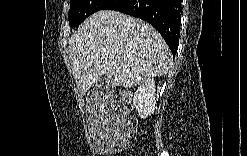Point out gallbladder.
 I'll use <instances>...</instances> for the list:
<instances>
[{"mask_svg":"<svg viewBox=\"0 0 247 156\" xmlns=\"http://www.w3.org/2000/svg\"><path fill=\"white\" fill-rule=\"evenodd\" d=\"M103 84L106 85L107 90H112L114 88V85L109 81L107 76H101L96 82V85L98 86H103Z\"/></svg>","mask_w":247,"mask_h":156,"instance_id":"gallbladder-1","label":"gallbladder"}]
</instances>
